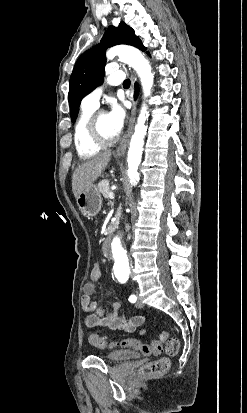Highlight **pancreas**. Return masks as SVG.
I'll use <instances>...</instances> for the list:
<instances>
[{"instance_id": "obj_1", "label": "pancreas", "mask_w": 247, "mask_h": 413, "mask_svg": "<svg viewBox=\"0 0 247 413\" xmlns=\"http://www.w3.org/2000/svg\"><path fill=\"white\" fill-rule=\"evenodd\" d=\"M97 186H98L101 194H103L104 198H109L108 192H111V190H109V180H108V178H103V180H100V182H98Z\"/></svg>"}]
</instances>
